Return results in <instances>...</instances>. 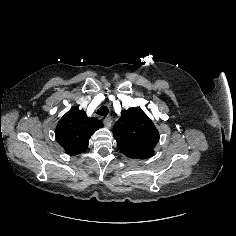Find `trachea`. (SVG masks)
<instances>
[{"label": "trachea", "mask_w": 236, "mask_h": 236, "mask_svg": "<svg viewBox=\"0 0 236 236\" xmlns=\"http://www.w3.org/2000/svg\"><path fill=\"white\" fill-rule=\"evenodd\" d=\"M108 113H109V110L106 106H101L96 112V114L100 116H104V117L107 116Z\"/></svg>", "instance_id": "3493384b"}]
</instances>
